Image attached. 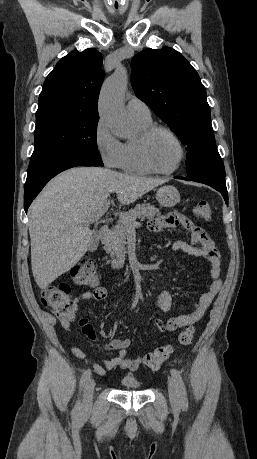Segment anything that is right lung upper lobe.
Here are the masks:
<instances>
[{
    "mask_svg": "<svg viewBox=\"0 0 257 459\" xmlns=\"http://www.w3.org/2000/svg\"><path fill=\"white\" fill-rule=\"evenodd\" d=\"M105 72L96 49L72 51L47 76L38 101V112L67 110L98 116L97 103Z\"/></svg>",
    "mask_w": 257,
    "mask_h": 459,
    "instance_id": "obj_1",
    "label": "right lung upper lobe"
}]
</instances>
